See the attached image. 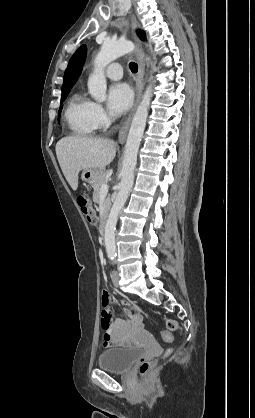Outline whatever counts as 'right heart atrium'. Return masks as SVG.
I'll return each mask as SVG.
<instances>
[{"mask_svg": "<svg viewBox=\"0 0 255 418\" xmlns=\"http://www.w3.org/2000/svg\"><path fill=\"white\" fill-rule=\"evenodd\" d=\"M92 116L96 128H101L107 125L108 118L102 105L93 102Z\"/></svg>", "mask_w": 255, "mask_h": 418, "instance_id": "d8ad5b80", "label": "right heart atrium"}]
</instances>
